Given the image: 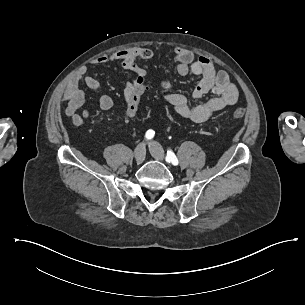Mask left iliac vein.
I'll return each instance as SVG.
<instances>
[{
    "label": "left iliac vein",
    "instance_id": "left-iliac-vein-1",
    "mask_svg": "<svg viewBox=\"0 0 305 305\" xmlns=\"http://www.w3.org/2000/svg\"><path fill=\"white\" fill-rule=\"evenodd\" d=\"M152 156L158 160L163 161L164 160V150L163 148L157 143V142H150L148 145Z\"/></svg>",
    "mask_w": 305,
    "mask_h": 305
}]
</instances>
